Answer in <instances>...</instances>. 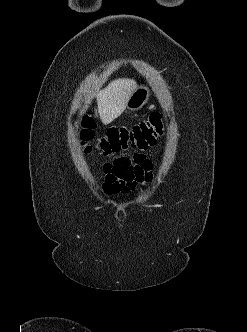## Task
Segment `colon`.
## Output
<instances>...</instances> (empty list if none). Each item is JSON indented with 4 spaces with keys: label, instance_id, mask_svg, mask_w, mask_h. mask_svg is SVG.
<instances>
[{
    "label": "colon",
    "instance_id": "1",
    "mask_svg": "<svg viewBox=\"0 0 247 332\" xmlns=\"http://www.w3.org/2000/svg\"><path fill=\"white\" fill-rule=\"evenodd\" d=\"M94 120L84 115L80 121L79 137L87 151H91L89 145L94 138ZM163 132V125L159 113H152L144 120L131 127H116L108 130L106 135L96 144V148L103 155H111L127 149L145 150L156 143L157 137Z\"/></svg>",
    "mask_w": 247,
    "mask_h": 332
}]
</instances>
